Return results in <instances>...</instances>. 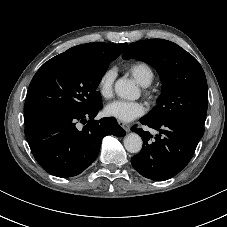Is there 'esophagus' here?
<instances>
[{
    "mask_svg": "<svg viewBox=\"0 0 227 227\" xmlns=\"http://www.w3.org/2000/svg\"><path fill=\"white\" fill-rule=\"evenodd\" d=\"M119 125L126 131L129 132L130 131V125L124 122L119 121Z\"/></svg>",
    "mask_w": 227,
    "mask_h": 227,
    "instance_id": "esophagus-1",
    "label": "esophagus"
}]
</instances>
